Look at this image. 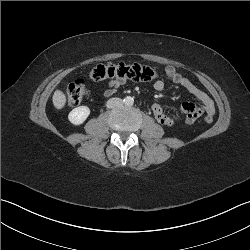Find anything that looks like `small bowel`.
Returning <instances> with one entry per match:
<instances>
[{"instance_id":"obj_1","label":"small bowel","mask_w":250,"mask_h":250,"mask_svg":"<svg viewBox=\"0 0 250 250\" xmlns=\"http://www.w3.org/2000/svg\"><path fill=\"white\" fill-rule=\"evenodd\" d=\"M165 76L173 84L179 85L192 94L196 99L199 100L200 106L186 102L181 106L179 113H166L163 107L159 103H154L152 105V112L156 120L165 126H173L176 123L192 124L199 118L203 113L208 115H214L215 106L213 100L209 97L207 93L198 88L193 84L188 78L177 71L174 66H166ZM123 79H112L108 82L107 88L105 90V95L110 96L114 94L119 87L125 84ZM165 88V82L163 80H157L154 83V89L156 91H162Z\"/></svg>"}]
</instances>
